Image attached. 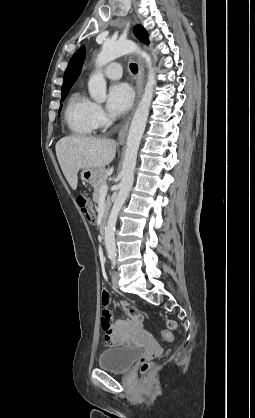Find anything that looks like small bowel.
<instances>
[{
	"label": "small bowel",
	"mask_w": 255,
	"mask_h": 418,
	"mask_svg": "<svg viewBox=\"0 0 255 418\" xmlns=\"http://www.w3.org/2000/svg\"><path fill=\"white\" fill-rule=\"evenodd\" d=\"M101 300L104 306L108 302V293L105 290L102 291ZM122 305L129 315L125 320L117 319L111 323L110 312L106 309L101 315L104 339L113 346H130L136 339L147 337L142 329L143 317L140 312L134 307H128L127 302H123Z\"/></svg>",
	"instance_id": "small-bowel-1"
}]
</instances>
